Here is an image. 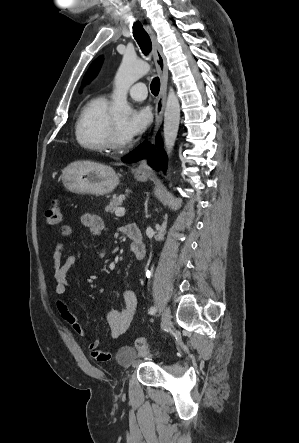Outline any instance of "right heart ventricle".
I'll return each mask as SVG.
<instances>
[{
	"label": "right heart ventricle",
	"instance_id": "e07e8e85",
	"mask_svg": "<svg viewBox=\"0 0 299 443\" xmlns=\"http://www.w3.org/2000/svg\"><path fill=\"white\" fill-rule=\"evenodd\" d=\"M110 121L107 98L98 96L89 100L82 108L75 124L78 144L91 152H107Z\"/></svg>",
	"mask_w": 299,
	"mask_h": 443
}]
</instances>
